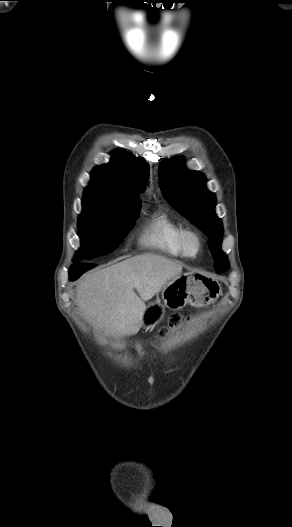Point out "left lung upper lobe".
Masks as SVG:
<instances>
[{
  "instance_id": "obj_1",
  "label": "left lung upper lobe",
  "mask_w": 292,
  "mask_h": 527,
  "mask_svg": "<svg viewBox=\"0 0 292 527\" xmlns=\"http://www.w3.org/2000/svg\"><path fill=\"white\" fill-rule=\"evenodd\" d=\"M205 183L203 174L184 168L182 158L165 161L159 168V184L164 197L208 236L215 269L220 272L229 266L220 249L223 228L214 210L215 195L207 190Z\"/></svg>"
}]
</instances>
